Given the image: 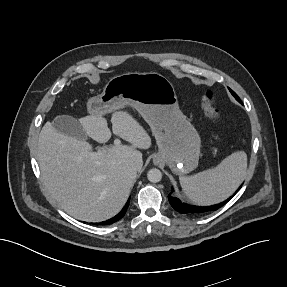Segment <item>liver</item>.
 I'll list each match as a JSON object with an SVG mask.
<instances>
[{
    "mask_svg": "<svg viewBox=\"0 0 287 287\" xmlns=\"http://www.w3.org/2000/svg\"><path fill=\"white\" fill-rule=\"evenodd\" d=\"M79 121L85 133L99 143L107 142L113 132L131 146L105 147L102 155L94 158L88 142L66 136L47 122L39 134L37 160L45 187L65 212L82 221L100 222L125 205L137 177L130 163L142 159L136 148H150L151 138L123 111L112 114V132L101 113Z\"/></svg>",
    "mask_w": 287,
    "mask_h": 287,
    "instance_id": "obj_1",
    "label": "liver"
}]
</instances>
